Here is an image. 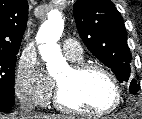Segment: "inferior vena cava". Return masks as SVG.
<instances>
[{
  "label": "inferior vena cava",
  "instance_id": "obj_1",
  "mask_svg": "<svg viewBox=\"0 0 142 119\" xmlns=\"http://www.w3.org/2000/svg\"><path fill=\"white\" fill-rule=\"evenodd\" d=\"M20 110L21 115L28 119L33 118V116L35 115L33 113V102L31 100H28L27 98H20Z\"/></svg>",
  "mask_w": 142,
  "mask_h": 119
}]
</instances>
